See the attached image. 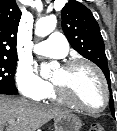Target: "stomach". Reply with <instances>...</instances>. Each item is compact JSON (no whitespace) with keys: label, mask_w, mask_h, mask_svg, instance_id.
<instances>
[{"label":"stomach","mask_w":117,"mask_h":131,"mask_svg":"<svg viewBox=\"0 0 117 131\" xmlns=\"http://www.w3.org/2000/svg\"><path fill=\"white\" fill-rule=\"evenodd\" d=\"M81 120L72 113L61 114L54 119L55 131H80Z\"/></svg>","instance_id":"obj_1"}]
</instances>
